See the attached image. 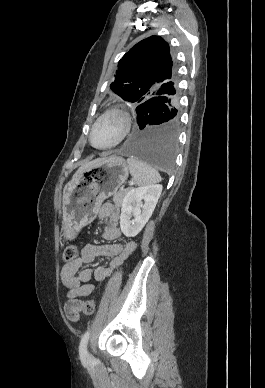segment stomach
Returning a JSON list of instances; mask_svg holds the SVG:
<instances>
[{
	"instance_id": "obj_1",
	"label": "stomach",
	"mask_w": 265,
	"mask_h": 388,
	"mask_svg": "<svg viewBox=\"0 0 265 388\" xmlns=\"http://www.w3.org/2000/svg\"><path fill=\"white\" fill-rule=\"evenodd\" d=\"M126 160L112 155L84 169L64 187L63 231L72 238L75 230L91 223L102 202L127 180Z\"/></svg>"
}]
</instances>
